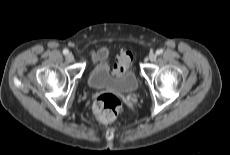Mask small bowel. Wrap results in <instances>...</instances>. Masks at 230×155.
<instances>
[{"label": "small bowel", "instance_id": "1", "mask_svg": "<svg viewBox=\"0 0 230 155\" xmlns=\"http://www.w3.org/2000/svg\"><path fill=\"white\" fill-rule=\"evenodd\" d=\"M125 55L126 53L122 52L117 57L116 64L114 65L113 68V74L119 75L127 71L130 65V60H125ZM107 56H108V51L105 48H101L100 50L92 53L91 55L92 63L96 66L100 62L104 61L107 58Z\"/></svg>", "mask_w": 230, "mask_h": 155}]
</instances>
